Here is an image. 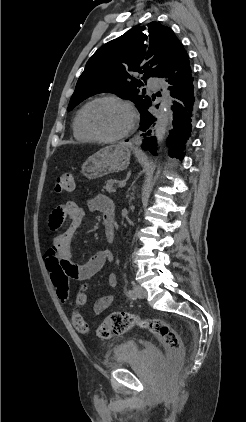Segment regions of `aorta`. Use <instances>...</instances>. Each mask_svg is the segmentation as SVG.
<instances>
[{
    "mask_svg": "<svg viewBox=\"0 0 246 422\" xmlns=\"http://www.w3.org/2000/svg\"><path fill=\"white\" fill-rule=\"evenodd\" d=\"M171 104L169 92L166 90L165 95L162 98L161 105L159 108V114L155 123V136L158 145H160L167 132V126L169 121L168 107Z\"/></svg>",
    "mask_w": 246,
    "mask_h": 422,
    "instance_id": "1",
    "label": "aorta"
}]
</instances>
